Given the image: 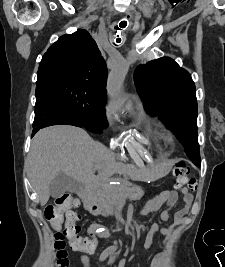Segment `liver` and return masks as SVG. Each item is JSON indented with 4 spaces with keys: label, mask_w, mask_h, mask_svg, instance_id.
Wrapping results in <instances>:
<instances>
[{
    "label": "liver",
    "mask_w": 225,
    "mask_h": 267,
    "mask_svg": "<svg viewBox=\"0 0 225 267\" xmlns=\"http://www.w3.org/2000/svg\"><path fill=\"white\" fill-rule=\"evenodd\" d=\"M30 183L41 206L50 197V183L63 173L88 187L93 174L97 181L115 172H135L132 166L115 162L114 155L88 133L70 125H54L41 129L33 138L25 161Z\"/></svg>",
    "instance_id": "liver-1"
}]
</instances>
